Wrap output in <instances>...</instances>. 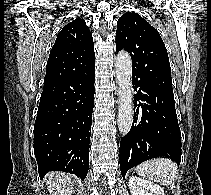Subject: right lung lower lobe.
Wrapping results in <instances>:
<instances>
[{
    "label": "right lung lower lobe",
    "instance_id": "obj_1",
    "mask_svg": "<svg viewBox=\"0 0 211 195\" xmlns=\"http://www.w3.org/2000/svg\"><path fill=\"white\" fill-rule=\"evenodd\" d=\"M94 82L95 65L44 84L34 125V153L40 178L49 171L86 177Z\"/></svg>",
    "mask_w": 211,
    "mask_h": 195
}]
</instances>
